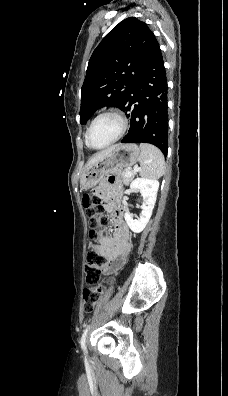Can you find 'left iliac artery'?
Listing matches in <instances>:
<instances>
[{
  "label": "left iliac artery",
  "mask_w": 228,
  "mask_h": 396,
  "mask_svg": "<svg viewBox=\"0 0 228 396\" xmlns=\"http://www.w3.org/2000/svg\"><path fill=\"white\" fill-rule=\"evenodd\" d=\"M89 329H90V325H88L86 327V329L84 330V333H83V335L81 337L80 344H81V348H82L83 351H86V337H87V333H88Z\"/></svg>",
  "instance_id": "44dca946"
}]
</instances>
